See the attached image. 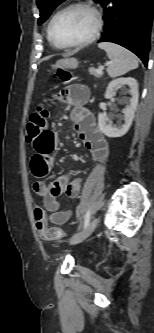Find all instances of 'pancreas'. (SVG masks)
<instances>
[{
  "instance_id": "1",
  "label": "pancreas",
  "mask_w": 154,
  "mask_h": 333,
  "mask_svg": "<svg viewBox=\"0 0 154 333\" xmlns=\"http://www.w3.org/2000/svg\"><path fill=\"white\" fill-rule=\"evenodd\" d=\"M89 72H90L91 75H93V76L96 77V78H99V77H101V75H102V73H99V72L97 71V69H94V68H90V69H89Z\"/></svg>"
}]
</instances>
